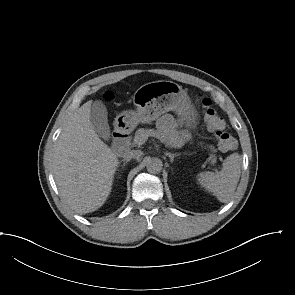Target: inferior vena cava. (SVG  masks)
<instances>
[{"instance_id": "602c4592", "label": "inferior vena cava", "mask_w": 295, "mask_h": 295, "mask_svg": "<svg viewBox=\"0 0 295 295\" xmlns=\"http://www.w3.org/2000/svg\"><path fill=\"white\" fill-rule=\"evenodd\" d=\"M143 155V152L141 150H132L130 152L127 153V155L125 156V158L127 159H140Z\"/></svg>"}]
</instances>
